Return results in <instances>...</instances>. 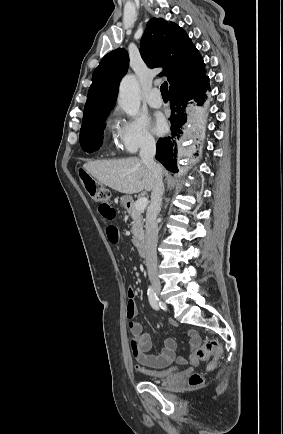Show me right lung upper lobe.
Segmentation results:
<instances>
[{"instance_id": "right-lung-upper-lobe-1", "label": "right lung upper lobe", "mask_w": 283, "mask_h": 434, "mask_svg": "<svg viewBox=\"0 0 283 434\" xmlns=\"http://www.w3.org/2000/svg\"><path fill=\"white\" fill-rule=\"evenodd\" d=\"M140 53L151 68L162 67L170 90L188 88L205 78V63L186 32L174 22L152 18L140 42ZM129 66L128 53L118 48L103 57L92 75L82 127L95 123L115 104L119 82Z\"/></svg>"}]
</instances>
